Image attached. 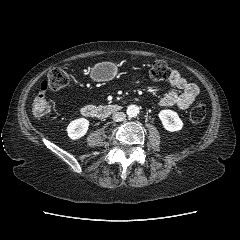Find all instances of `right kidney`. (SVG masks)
<instances>
[{
  "instance_id": "1",
  "label": "right kidney",
  "mask_w": 240,
  "mask_h": 240,
  "mask_svg": "<svg viewBox=\"0 0 240 240\" xmlns=\"http://www.w3.org/2000/svg\"><path fill=\"white\" fill-rule=\"evenodd\" d=\"M88 127H89V121L85 118H79V119L73 120L67 126L68 136L72 140L79 139L87 133Z\"/></svg>"
}]
</instances>
